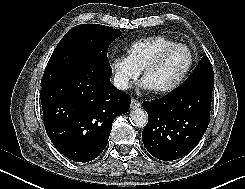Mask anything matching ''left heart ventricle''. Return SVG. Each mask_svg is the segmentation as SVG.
I'll list each match as a JSON object with an SVG mask.
<instances>
[{"label":"left heart ventricle","instance_id":"obj_1","mask_svg":"<svg viewBox=\"0 0 245 189\" xmlns=\"http://www.w3.org/2000/svg\"><path fill=\"white\" fill-rule=\"evenodd\" d=\"M188 63V51L184 48H175L168 52L162 61L146 74L144 80L153 90L163 88L176 81Z\"/></svg>","mask_w":245,"mask_h":189}]
</instances>
